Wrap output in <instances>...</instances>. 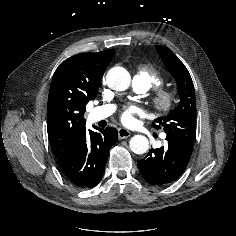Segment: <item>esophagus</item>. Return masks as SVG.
Returning <instances> with one entry per match:
<instances>
[{
  "instance_id": "34e87169",
  "label": "esophagus",
  "mask_w": 236,
  "mask_h": 236,
  "mask_svg": "<svg viewBox=\"0 0 236 236\" xmlns=\"http://www.w3.org/2000/svg\"><path fill=\"white\" fill-rule=\"evenodd\" d=\"M131 133L129 130L125 129V128H119L118 129V137L119 139H125L130 137Z\"/></svg>"
}]
</instances>
